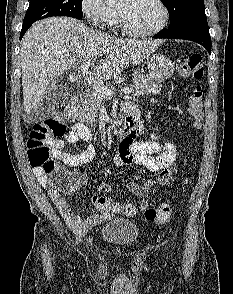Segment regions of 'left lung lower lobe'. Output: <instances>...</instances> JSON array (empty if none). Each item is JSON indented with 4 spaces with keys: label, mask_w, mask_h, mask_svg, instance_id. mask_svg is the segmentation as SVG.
<instances>
[{
    "label": "left lung lower lobe",
    "mask_w": 233,
    "mask_h": 294,
    "mask_svg": "<svg viewBox=\"0 0 233 294\" xmlns=\"http://www.w3.org/2000/svg\"><path fill=\"white\" fill-rule=\"evenodd\" d=\"M154 38L184 39L197 42L211 53V38L207 21H187L162 30Z\"/></svg>",
    "instance_id": "0a47b994"
}]
</instances>
